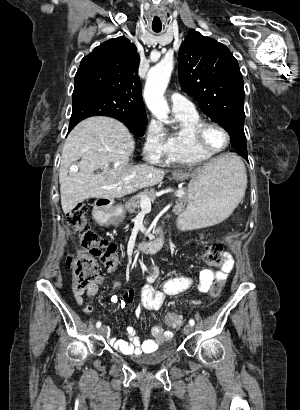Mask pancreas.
<instances>
[{
  "label": "pancreas",
  "mask_w": 300,
  "mask_h": 410,
  "mask_svg": "<svg viewBox=\"0 0 300 410\" xmlns=\"http://www.w3.org/2000/svg\"><path fill=\"white\" fill-rule=\"evenodd\" d=\"M181 190H183L185 194L182 197H179L176 200V205L173 208V211L176 214H180L182 212L183 208L185 207V205L188 202L187 190L186 189H181ZM142 195L148 196L151 201H154V199H155L154 192L147 191V192H144V193H140V194H137V195L133 196L125 204V209L130 213H133L135 209H140V207H141L140 200H141Z\"/></svg>",
  "instance_id": "obj_1"
}]
</instances>
